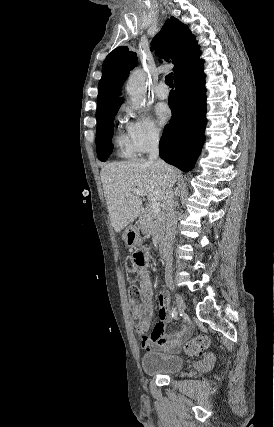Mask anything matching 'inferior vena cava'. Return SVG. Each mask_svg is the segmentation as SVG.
<instances>
[{"mask_svg":"<svg viewBox=\"0 0 274 427\" xmlns=\"http://www.w3.org/2000/svg\"><path fill=\"white\" fill-rule=\"evenodd\" d=\"M159 138L158 136H151L148 138L147 150L149 154L148 160H157L159 158ZM165 170H168L169 166H164ZM174 182H167V188L165 190L164 204L166 208V235L165 245L166 249H171L175 237L176 223H177V212L175 194L172 190ZM171 263V261H168Z\"/></svg>","mask_w":274,"mask_h":427,"instance_id":"obj_1","label":"inferior vena cava"}]
</instances>
